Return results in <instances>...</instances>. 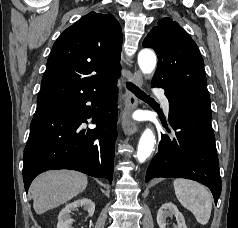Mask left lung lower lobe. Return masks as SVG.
Wrapping results in <instances>:
<instances>
[{"instance_id":"1","label":"left lung lower lobe","mask_w":238,"mask_h":228,"mask_svg":"<svg viewBox=\"0 0 238 228\" xmlns=\"http://www.w3.org/2000/svg\"><path fill=\"white\" fill-rule=\"evenodd\" d=\"M165 95L169 100V123L174 131L161 134L158 153L146 172V182L154 177L192 179L209 187L217 204L222 184L211 126L212 112L172 91L165 89Z\"/></svg>"}]
</instances>
